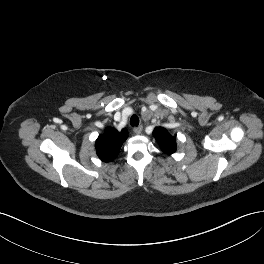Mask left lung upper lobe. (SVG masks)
<instances>
[{
  "mask_svg": "<svg viewBox=\"0 0 264 264\" xmlns=\"http://www.w3.org/2000/svg\"><path fill=\"white\" fill-rule=\"evenodd\" d=\"M153 134L164 153L170 155L176 151V139L165 128L157 127Z\"/></svg>",
  "mask_w": 264,
  "mask_h": 264,
  "instance_id": "5c2ea615",
  "label": "left lung upper lobe"
}]
</instances>
